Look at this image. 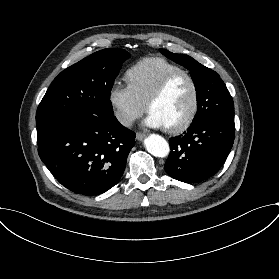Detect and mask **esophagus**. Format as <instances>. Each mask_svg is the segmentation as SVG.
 <instances>
[{
  "instance_id": "obj_1",
  "label": "esophagus",
  "mask_w": 279,
  "mask_h": 279,
  "mask_svg": "<svg viewBox=\"0 0 279 279\" xmlns=\"http://www.w3.org/2000/svg\"><path fill=\"white\" fill-rule=\"evenodd\" d=\"M144 138H145V134L140 133V132H138V133L136 134V139H137L138 141H142Z\"/></svg>"
}]
</instances>
